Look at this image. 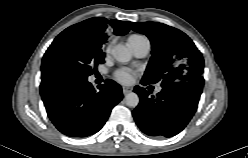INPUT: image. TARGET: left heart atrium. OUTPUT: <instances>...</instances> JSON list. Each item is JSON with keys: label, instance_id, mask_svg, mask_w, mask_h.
Returning <instances> with one entry per match:
<instances>
[{"label": "left heart atrium", "instance_id": "39dd6f15", "mask_svg": "<svg viewBox=\"0 0 248 158\" xmlns=\"http://www.w3.org/2000/svg\"><path fill=\"white\" fill-rule=\"evenodd\" d=\"M114 78L120 83L129 84L133 81L134 72L128 68H120L114 72Z\"/></svg>", "mask_w": 248, "mask_h": 158}]
</instances>
